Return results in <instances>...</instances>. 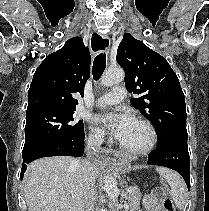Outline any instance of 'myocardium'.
<instances>
[{
  "label": "myocardium",
  "mask_w": 209,
  "mask_h": 211,
  "mask_svg": "<svg viewBox=\"0 0 209 211\" xmlns=\"http://www.w3.org/2000/svg\"><path fill=\"white\" fill-rule=\"evenodd\" d=\"M134 121L141 124L146 129L147 134H148V139H147L146 144L140 148H128L124 146L123 144H120V148L127 154H130L133 156H141V155L148 154L154 149L157 143L156 129L149 120L143 117H137L134 119Z\"/></svg>",
  "instance_id": "obj_1"
}]
</instances>
